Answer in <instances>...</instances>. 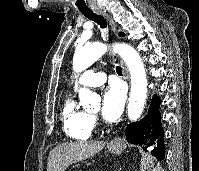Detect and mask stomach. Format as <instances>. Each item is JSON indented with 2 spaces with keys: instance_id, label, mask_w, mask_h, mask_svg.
I'll use <instances>...</instances> for the list:
<instances>
[{
  "instance_id": "obj_1",
  "label": "stomach",
  "mask_w": 199,
  "mask_h": 171,
  "mask_svg": "<svg viewBox=\"0 0 199 171\" xmlns=\"http://www.w3.org/2000/svg\"><path fill=\"white\" fill-rule=\"evenodd\" d=\"M108 150L110 153L118 155L122 152V147L109 145Z\"/></svg>"
}]
</instances>
